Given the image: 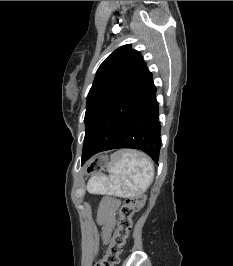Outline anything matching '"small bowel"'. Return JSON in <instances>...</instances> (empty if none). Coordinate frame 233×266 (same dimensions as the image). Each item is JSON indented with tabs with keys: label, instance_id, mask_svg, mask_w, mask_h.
Wrapping results in <instances>:
<instances>
[{
	"label": "small bowel",
	"instance_id": "obj_1",
	"mask_svg": "<svg viewBox=\"0 0 233 266\" xmlns=\"http://www.w3.org/2000/svg\"><path fill=\"white\" fill-rule=\"evenodd\" d=\"M117 205L118 202L116 200L106 198L102 200L98 208L97 220L102 227V238L105 242L108 241L114 228Z\"/></svg>",
	"mask_w": 233,
	"mask_h": 266
}]
</instances>
